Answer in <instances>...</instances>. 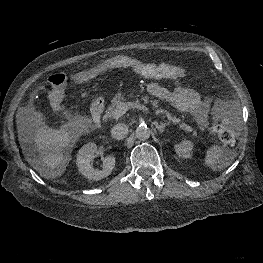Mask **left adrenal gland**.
Masks as SVG:
<instances>
[{"mask_svg": "<svg viewBox=\"0 0 263 263\" xmlns=\"http://www.w3.org/2000/svg\"><path fill=\"white\" fill-rule=\"evenodd\" d=\"M153 124L155 125V127L159 130V132L160 133H163L164 132V130H165V127L167 126V125H169V122H167V123H160V124H158V122H153Z\"/></svg>", "mask_w": 263, "mask_h": 263, "instance_id": "obj_1", "label": "left adrenal gland"}]
</instances>
